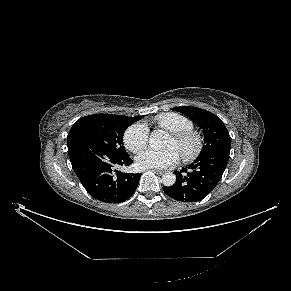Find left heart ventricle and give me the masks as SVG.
Wrapping results in <instances>:
<instances>
[{
    "label": "left heart ventricle",
    "instance_id": "obj_1",
    "mask_svg": "<svg viewBox=\"0 0 291 291\" xmlns=\"http://www.w3.org/2000/svg\"><path fill=\"white\" fill-rule=\"evenodd\" d=\"M168 147H175L180 154H182V152L185 150L186 147L188 146H181L179 144L176 143L175 139L171 136L168 143H167Z\"/></svg>",
    "mask_w": 291,
    "mask_h": 291
}]
</instances>
